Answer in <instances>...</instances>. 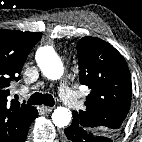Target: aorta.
<instances>
[{
  "label": "aorta",
  "instance_id": "1",
  "mask_svg": "<svg viewBox=\"0 0 142 142\" xmlns=\"http://www.w3.org/2000/svg\"><path fill=\"white\" fill-rule=\"evenodd\" d=\"M36 61L42 73L50 80H57L64 73L63 63L51 46L40 47L36 52ZM71 118L72 113L66 107H57L52 113V121L59 128L67 126Z\"/></svg>",
  "mask_w": 142,
  "mask_h": 142
}]
</instances>
